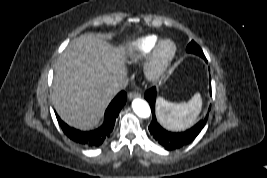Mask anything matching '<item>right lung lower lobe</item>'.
Segmentation results:
<instances>
[{
	"instance_id": "98d812e1",
	"label": "right lung lower lobe",
	"mask_w": 267,
	"mask_h": 178,
	"mask_svg": "<svg viewBox=\"0 0 267 178\" xmlns=\"http://www.w3.org/2000/svg\"><path fill=\"white\" fill-rule=\"evenodd\" d=\"M127 95L124 91L118 93V95L112 100L105 112V118L103 124L92 131H80L68 126L58 116V122L63 132L74 142L86 146L97 147L101 145L107 138H109L115 124V120L126 103Z\"/></svg>"
}]
</instances>
